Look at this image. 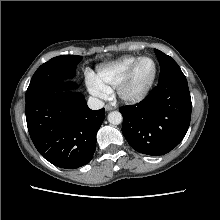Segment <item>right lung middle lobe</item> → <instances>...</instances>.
Returning a JSON list of instances; mask_svg holds the SVG:
<instances>
[{
  "instance_id": "1",
  "label": "right lung middle lobe",
  "mask_w": 220,
  "mask_h": 220,
  "mask_svg": "<svg viewBox=\"0 0 220 220\" xmlns=\"http://www.w3.org/2000/svg\"><path fill=\"white\" fill-rule=\"evenodd\" d=\"M81 60V56L61 55L41 65L32 76L26 92V102L46 92L65 91L73 87L72 83L63 84V80L75 75V69Z\"/></svg>"
}]
</instances>
